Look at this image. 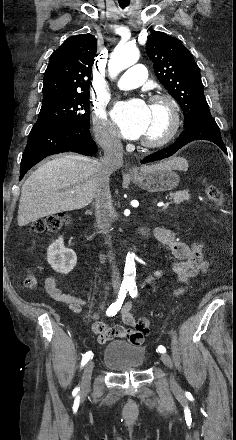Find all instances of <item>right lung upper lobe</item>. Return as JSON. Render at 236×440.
Masks as SVG:
<instances>
[{"instance_id":"obj_1","label":"right lung upper lobe","mask_w":236,"mask_h":440,"mask_svg":"<svg viewBox=\"0 0 236 440\" xmlns=\"http://www.w3.org/2000/svg\"><path fill=\"white\" fill-rule=\"evenodd\" d=\"M96 39L91 34L67 38L49 59L43 82V101H55L89 94L96 57Z\"/></svg>"}]
</instances>
